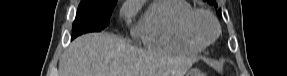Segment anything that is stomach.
<instances>
[{"label":"stomach","instance_id":"obj_1","mask_svg":"<svg viewBox=\"0 0 287 76\" xmlns=\"http://www.w3.org/2000/svg\"><path fill=\"white\" fill-rule=\"evenodd\" d=\"M187 76H202V74L200 71L192 69L188 72Z\"/></svg>","mask_w":287,"mask_h":76}]
</instances>
